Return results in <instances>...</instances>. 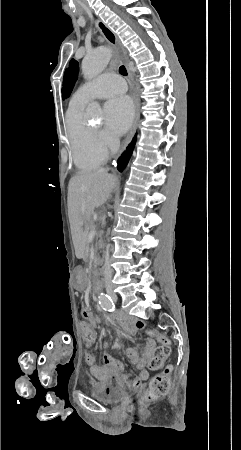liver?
I'll list each match as a JSON object with an SVG mask.
<instances>
[{"instance_id":"obj_1","label":"liver","mask_w":241,"mask_h":450,"mask_svg":"<svg viewBox=\"0 0 241 450\" xmlns=\"http://www.w3.org/2000/svg\"><path fill=\"white\" fill-rule=\"evenodd\" d=\"M100 168L94 172H77L69 182V214L73 230V244L76 256L84 250L86 234L83 226H88L94 208L107 202L117 178Z\"/></svg>"}]
</instances>
